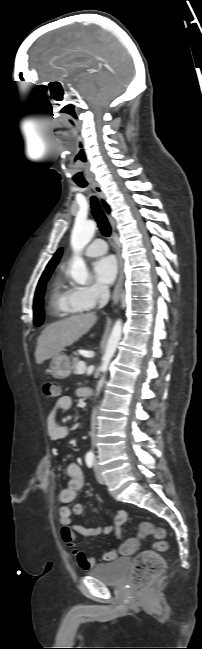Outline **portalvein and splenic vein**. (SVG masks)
<instances>
[{"label": "portal vein and splenic vein", "mask_w": 202, "mask_h": 649, "mask_svg": "<svg viewBox=\"0 0 202 649\" xmlns=\"http://www.w3.org/2000/svg\"><path fill=\"white\" fill-rule=\"evenodd\" d=\"M79 374H84L86 371V365L83 361H80L77 365Z\"/></svg>", "instance_id": "portal-vein-and-splenic-vein-1"}]
</instances>
